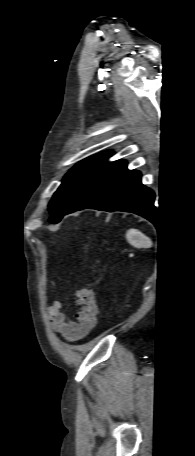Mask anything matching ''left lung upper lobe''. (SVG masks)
I'll return each mask as SVG.
<instances>
[{
  "mask_svg": "<svg viewBox=\"0 0 195 456\" xmlns=\"http://www.w3.org/2000/svg\"><path fill=\"white\" fill-rule=\"evenodd\" d=\"M112 151L88 157L76 164L64 177L49 203V221L58 223L89 200L115 171L121 160L108 162Z\"/></svg>",
  "mask_w": 195,
  "mask_h": 456,
  "instance_id": "5c2ea615",
  "label": "left lung upper lobe"
}]
</instances>
